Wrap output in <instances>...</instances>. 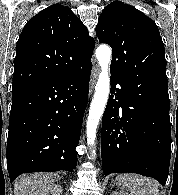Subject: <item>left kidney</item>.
<instances>
[{"instance_id":"obj_1","label":"left kidney","mask_w":178,"mask_h":195,"mask_svg":"<svg viewBox=\"0 0 178 195\" xmlns=\"http://www.w3.org/2000/svg\"><path fill=\"white\" fill-rule=\"evenodd\" d=\"M111 195H130V194L123 192V191H115Z\"/></svg>"}]
</instances>
